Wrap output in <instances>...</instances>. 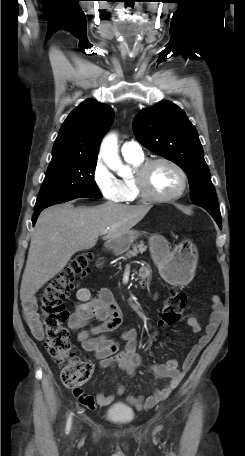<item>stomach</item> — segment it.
<instances>
[{
  "mask_svg": "<svg viewBox=\"0 0 245 456\" xmlns=\"http://www.w3.org/2000/svg\"><path fill=\"white\" fill-rule=\"evenodd\" d=\"M140 236L136 230H130L112 240L113 246L117 251H124ZM151 257L157 265L162 277L173 285H183L190 281L196 263V246L188 239H184L180 244L170 249L166 239L153 234L149 238Z\"/></svg>",
  "mask_w": 245,
  "mask_h": 456,
  "instance_id": "1",
  "label": "stomach"
}]
</instances>
